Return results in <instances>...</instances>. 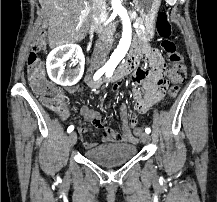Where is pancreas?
Segmentation results:
<instances>
[{
	"mask_svg": "<svg viewBox=\"0 0 217 202\" xmlns=\"http://www.w3.org/2000/svg\"><path fill=\"white\" fill-rule=\"evenodd\" d=\"M137 20H141V18H137ZM145 30H140V28H137V34H139V38H141V41H146L147 38V34H145Z\"/></svg>",
	"mask_w": 217,
	"mask_h": 202,
	"instance_id": "1",
	"label": "pancreas"
}]
</instances>
